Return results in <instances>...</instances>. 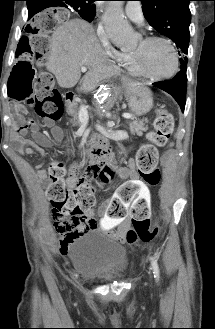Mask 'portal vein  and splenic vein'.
I'll return each instance as SVG.
<instances>
[{
	"label": "portal vein and splenic vein",
	"instance_id": "portal-vein-and-splenic-vein-1",
	"mask_svg": "<svg viewBox=\"0 0 215 329\" xmlns=\"http://www.w3.org/2000/svg\"><path fill=\"white\" fill-rule=\"evenodd\" d=\"M81 71L82 72H86L87 71V67L82 66L81 67ZM125 119H130L132 116L128 113H124L122 115ZM79 119L81 120V122L83 123H88L89 120V116H88V111L87 108L84 105H81L79 108Z\"/></svg>",
	"mask_w": 215,
	"mask_h": 329
}]
</instances>
